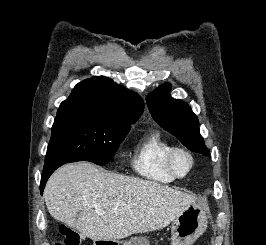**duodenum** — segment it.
Instances as JSON below:
<instances>
[{"label":"duodenum","mask_w":266,"mask_h":245,"mask_svg":"<svg viewBox=\"0 0 266 245\" xmlns=\"http://www.w3.org/2000/svg\"><path fill=\"white\" fill-rule=\"evenodd\" d=\"M95 245H113L116 237H94Z\"/></svg>","instance_id":"duodenum-1"}]
</instances>
